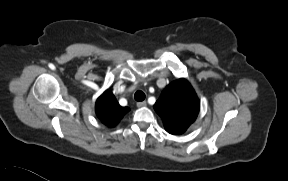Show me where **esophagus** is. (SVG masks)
Wrapping results in <instances>:
<instances>
[{
    "label": "esophagus",
    "mask_w": 288,
    "mask_h": 181,
    "mask_svg": "<svg viewBox=\"0 0 288 181\" xmlns=\"http://www.w3.org/2000/svg\"><path fill=\"white\" fill-rule=\"evenodd\" d=\"M147 105L146 101H142V102H137V107L141 108V107H145Z\"/></svg>",
    "instance_id": "esophagus-1"
}]
</instances>
